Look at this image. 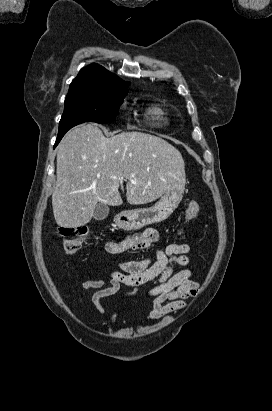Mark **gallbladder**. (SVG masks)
I'll return each mask as SVG.
<instances>
[{
	"instance_id": "1",
	"label": "gallbladder",
	"mask_w": 272,
	"mask_h": 411,
	"mask_svg": "<svg viewBox=\"0 0 272 411\" xmlns=\"http://www.w3.org/2000/svg\"><path fill=\"white\" fill-rule=\"evenodd\" d=\"M108 213L109 207L106 204L98 203L95 207L93 218L96 221H102L108 216Z\"/></svg>"
}]
</instances>
